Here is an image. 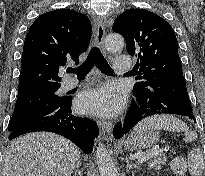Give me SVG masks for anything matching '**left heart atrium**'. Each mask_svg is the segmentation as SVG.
Returning a JSON list of instances; mask_svg holds the SVG:
<instances>
[{
	"instance_id": "left-heart-atrium-1",
	"label": "left heart atrium",
	"mask_w": 205,
	"mask_h": 176,
	"mask_svg": "<svg viewBox=\"0 0 205 176\" xmlns=\"http://www.w3.org/2000/svg\"><path fill=\"white\" fill-rule=\"evenodd\" d=\"M122 91L115 86H102L82 92L77 100V107L87 113L111 115L123 105Z\"/></svg>"
}]
</instances>
